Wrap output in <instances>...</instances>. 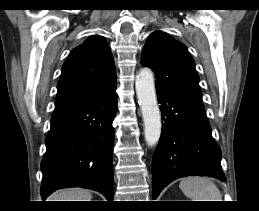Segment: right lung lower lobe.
Wrapping results in <instances>:
<instances>
[{
    "label": "right lung lower lobe",
    "mask_w": 259,
    "mask_h": 211,
    "mask_svg": "<svg viewBox=\"0 0 259 211\" xmlns=\"http://www.w3.org/2000/svg\"><path fill=\"white\" fill-rule=\"evenodd\" d=\"M116 89L80 105L54 110L41 163V196L56 189L83 187L113 199L112 122Z\"/></svg>",
    "instance_id": "1"
}]
</instances>
